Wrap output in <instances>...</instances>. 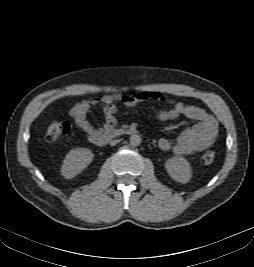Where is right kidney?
<instances>
[{
    "label": "right kidney",
    "instance_id": "ca27d5eb",
    "mask_svg": "<svg viewBox=\"0 0 254 267\" xmlns=\"http://www.w3.org/2000/svg\"><path fill=\"white\" fill-rule=\"evenodd\" d=\"M93 153L87 148H75L68 152L61 167V174L71 179L81 173L93 160Z\"/></svg>",
    "mask_w": 254,
    "mask_h": 267
}]
</instances>
